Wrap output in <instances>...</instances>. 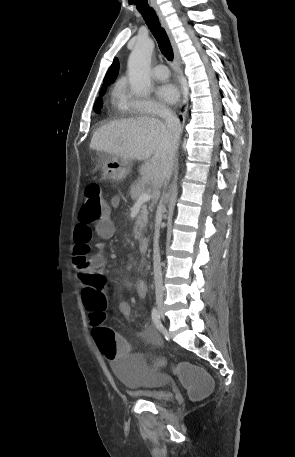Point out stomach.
<instances>
[{
    "mask_svg": "<svg viewBox=\"0 0 295 457\" xmlns=\"http://www.w3.org/2000/svg\"><path fill=\"white\" fill-rule=\"evenodd\" d=\"M102 160V169L104 177L112 181H122L131 171V163L129 160L119 156L100 153Z\"/></svg>",
    "mask_w": 295,
    "mask_h": 457,
    "instance_id": "1",
    "label": "stomach"
}]
</instances>
